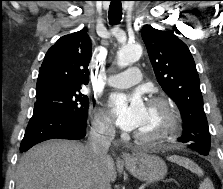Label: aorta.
Segmentation results:
<instances>
[{
  "mask_svg": "<svg viewBox=\"0 0 223 189\" xmlns=\"http://www.w3.org/2000/svg\"><path fill=\"white\" fill-rule=\"evenodd\" d=\"M142 47L139 44H128L118 52V65L126 67L140 59Z\"/></svg>",
  "mask_w": 223,
  "mask_h": 189,
  "instance_id": "1",
  "label": "aorta"
}]
</instances>
